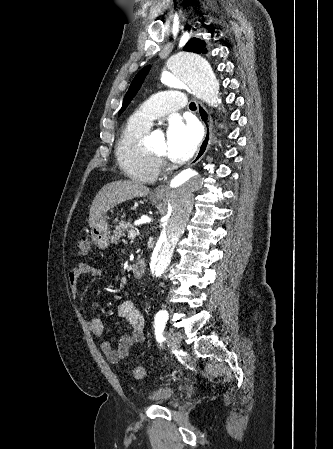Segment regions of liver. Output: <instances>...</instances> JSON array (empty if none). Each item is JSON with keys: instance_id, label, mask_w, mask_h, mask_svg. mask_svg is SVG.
Returning <instances> with one entry per match:
<instances>
[{"instance_id": "6515ba94", "label": "liver", "mask_w": 333, "mask_h": 449, "mask_svg": "<svg viewBox=\"0 0 333 449\" xmlns=\"http://www.w3.org/2000/svg\"><path fill=\"white\" fill-rule=\"evenodd\" d=\"M150 193L148 187L129 180H118L108 183L95 196L89 214V226L104 216L118 204L133 198L144 197Z\"/></svg>"}]
</instances>
